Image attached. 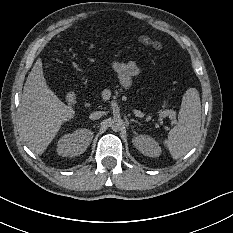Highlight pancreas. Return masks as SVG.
I'll use <instances>...</instances> for the list:
<instances>
[{
    "label": "pancreas",
    "instance_id": "1",
    "mask_svg": "<svg viewBox=\"0 0 233 233\" xmlns=\"http://www.w3.org/2000/svg\"><path fill=\"white\" fill-rule=\"evenodd\" d=\"M160 116L163 117L164 115H169L170 118H175L176 117V112L173 110H167V111H163V112H159Z\"/></svg>",
    "mask_w": 233,
    "mask_h": 233
}]
</instances>
